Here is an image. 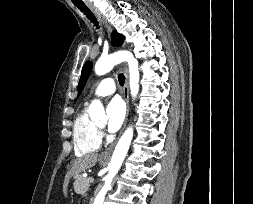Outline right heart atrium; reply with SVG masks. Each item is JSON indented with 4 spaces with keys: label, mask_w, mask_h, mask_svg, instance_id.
Segmentation results:
<instances>
[{
    "label": "right heart atrium",
    "mask_w": 253,
    "mask_h": 204,
    "mask_svg": "<svg viewBox=\"0 0 253 204\" xmlns=\"http://www.w3.org/2000/svg\"><path fill=\"white\" fill-rule=\"evenodd\" d=\"M99 134L102 135L103 134L102 131H99Z\"/></svg>",
    "instance_id": "obj_1"
}]
</instances>
